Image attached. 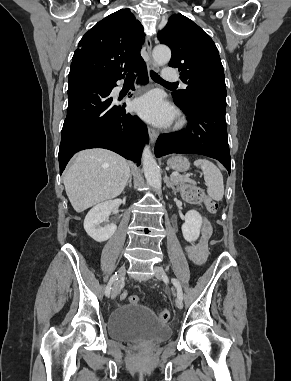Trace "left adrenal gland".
I'll list each match as a JSON object with an SVG mask.
<instances>
[{
    "label": "left adrenal gland",
    "mask_w": 291,
    "mask_h": 381,
    "mask_svg": "<svg viewBox=\"0 0 291 381\" xmlns=\"http://www.w3.org/2000/svg\"><path fill=\"white\" fill-rule=\"evenodd\" d=\"M165 182L168 188H171L174 192H176L175 184L172 182V180L166 175L165 176Z\"/></svg>",
    "instance_id": "left-adrenal-gland-1"
}]
</instances>
